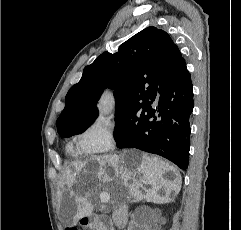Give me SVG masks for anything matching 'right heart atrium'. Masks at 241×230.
<instances>
[{"label": "right heart atrium", "mask_w": 241, "mask_h": 230, "mask_svg": "<svg viewBox=\"0 0 241 230\" xmlns=\"http://www.w3.org/2000/svg\"><path fill=\"white\" fill-rule=\"evenodd\" d=\"M118 138L114 124L100 120L88 127L79 138V146L86 153H107L117 148Z\"/></svg>", "instance_id": "d8ad5b80"}]
</instances>
